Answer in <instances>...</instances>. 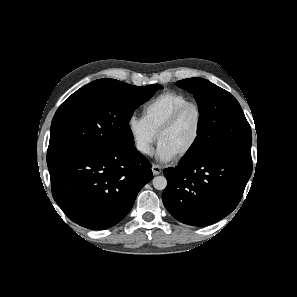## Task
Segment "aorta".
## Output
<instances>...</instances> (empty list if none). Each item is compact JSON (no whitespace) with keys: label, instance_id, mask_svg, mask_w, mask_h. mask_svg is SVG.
Here are the masks:
<instances>
[{"label":"aorta","instance_id":"obj_1","mask_svg":"<svg viewBox=\"0 0 297 297\" xmlns=\"http://www.w3.org/2000/svg\"><path fill=\"white\" fill-rule=\"evenodd\" d=\"M153 186L157 190H164L167 186V180L164 176H156L153 178Z\"/></svg>","mask_w":297,"mask_h":297}]
</instances>
